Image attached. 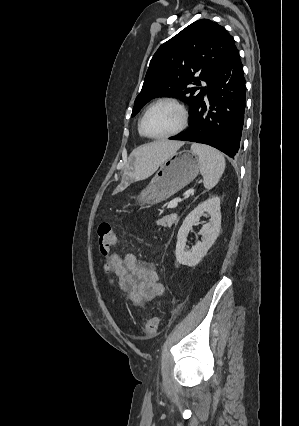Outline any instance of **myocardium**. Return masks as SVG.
<instances>
[{
	"instance_id": "obj_1",
	"label": "myocardium",
	"mask_w": 299,
	"mask_h": 426,
	"mask_svg": "<svg viewBox=\"0 0 299 426\" xmlns=\"http://www.w3.org/2000/svg\"><path fill=\"white\" fill-rule=\"evenodd\" d=\"M165 103L166 104H172L179 109V111L181 113L180 125L174 131H172L170 133L160 135V136L150 135L146 131L145 126H144L145 119H146L148 113L150 112V110L153 107H155L159 104H165ZM188 122H189V110H188L187 106L181 100H179L177 98L165 97V98H161V99H158V100L152 102L146 108V110H145V112H144V114H143V116L140 120L139 128H140L142 135H144L145 137L150 138V139H154V140H163V139H167V138L176 136V135L180 134L181 132H183L186 129Z\"/></svg>"
}]
</instances>
